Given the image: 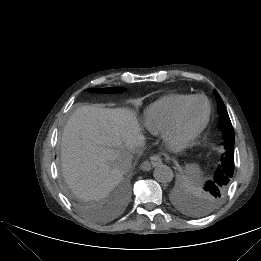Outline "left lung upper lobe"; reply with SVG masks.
Listing matches in <instances>:
<instances>
[{"label":"left lung upper lobe","mask_w":261,"mask_h":261,"mask_svg":"<svg viewBox=\"0 0 261 261\" xmlns=\"http://www.w3.org/2000/svg\"><path fill=\"white\" fill-rule=\"evenodd\" d=\"M217 105H218V112L220 113L219 117V127L220 130L223 132V140L224 142L222 145L225 147L224 159L228 160L227 155L229 153L232 154V160H234V131L233 127L229 118V115L224 107V103L220 97V95L215 91ZM228 152V153H227ZM231 175L226 173L221 165H219L215 176L213 179H210L206 182L199 206L196 210V214L204 215L207 213L212 212L224 199L229 183L231 180Z\"/></svg>","instance_id":"1"}]
</instances>
